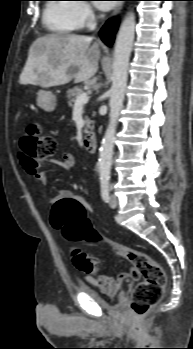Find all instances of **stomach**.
Wrapping results in <instances>:
<instances>
[{
  "instance_id": "0dacf381",
  "label": "stomach",
  "mask_w": 193,
  "mask_h": 349,
  "mask_svg": "<svg viewBox=\"0 0 193 349\" xmlns=\"http://www.w3.org/2000/svg\"><path fill=\"white\" fill-rule=\"evenodd\" d=\"M37 103L46 112H52L57 105L56 96L47 90H39L37 93Z\"/></svg>"
}]
</instances>
